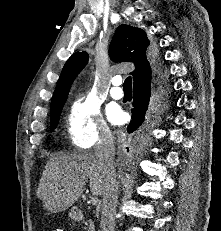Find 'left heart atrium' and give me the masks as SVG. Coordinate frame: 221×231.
Listing matches in <instances>:
<instances>
[{"label":"left heart atrium","mask_w":221,"mask_h":231,"mask_svg":"<svg viewBox=\"0 0 221 231\" xmlns=\"http://www.w3.org/2000/svg\"><path fill=\"white\" fill-rule=\"evenodd\" d=\"M108 118L113 124H121L124 121V113L117 107H112L108 111Z\"/></svg>","instance_id":"left-heart-atrium-1"}]
</instances>
